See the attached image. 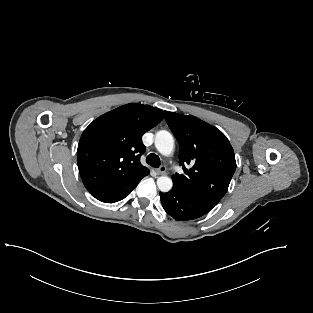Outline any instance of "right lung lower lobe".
<instances>
[{
    "instance_id": "right-lung-lower-lobe-1",
    "label": "right lung lower lobe",
    "mask_w": 313,
    "mask_h": 313,
    "mask_svg": "<svg viewBox=\"0 0 313 313\" xmlns=\"http://www.w3.org/2000/svg\"><path fill=\"white\" fill-rule=\"evenodd\" d=\"M148 174L149 171L143 175L134 177L125 182L98 188L89 192L92 194V196H94L101 202L114 203L127 197L131 193V191L137 186L139 181Z\"/></svg>"
}]
</instances>
